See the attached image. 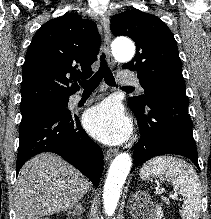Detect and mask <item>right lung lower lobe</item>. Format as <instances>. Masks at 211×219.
I'll list each match as a JSON object with an SVG mask.
<instances>
[{"instance_id":"98d812e1","label":"right lung lower lobe","mask_w":211,"mask_h":219,"mask_svg":"<svg viewBox=\"0 0 211 219\" xmlns=\"http://www.w3.org/2000/svg\"><path fill=\"white\" fill-rule=\"evenodd\" d=\"M16 173L23 164L41 152L60 155L97 187L103 170V153L69 110H46L22 119L19 128ZM91 157L93 159H91Z\"/></svg>"}]
</instances>
